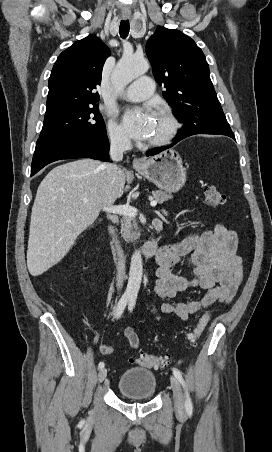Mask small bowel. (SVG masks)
I'll list each match as a JSON object with an SVG mask.
<instances>
[{
	"instance_id": "c3829d8e",
	"label": "small bowel",
	"mask_w": 272,
	"mask_h": 452,
	"mask_svg": "<svg viewBox=\"0 0 272 452\" xmlns=\"http://www.w3.org/2000/svg\"><path fill=\"white\" fill-rule=\"evenodd\" d=\"M237 249V233L221 224L201 233H190L179 243L161 247L156 257L159 269L152 295L164 302L160 311L151 307L150 313L158 321L161 314L187 320L202 308L229 303L243 278V260ZM181 265L190 267L189 276L177 271ZM192 288L207 290V294L201 300L171 302L180 292ZM124 335L132 348L139 346L138 335L132 328H126ZM100 349L105 355L113 352L107 344L101 345Z\"/></svg>"
}]
</instances>
